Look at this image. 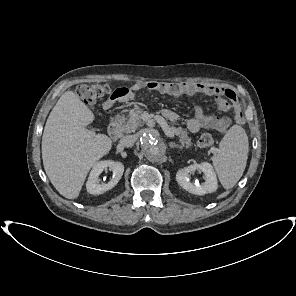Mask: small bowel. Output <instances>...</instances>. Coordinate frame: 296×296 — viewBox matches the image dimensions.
<instances>
[{"mask_svg": "<svg viewBox=\"0 0 296 296\" xmlns=\"http://www.w3.org/2000/svg\"><path fill=\"white\" fill-rule=\"evenodd\" d=\"M144 88L158 91L173 97H181L183 95L194 96L203 94L215 98L217 109L220 112H232L233 117L205 115L202 110H198L194 117L187 120L186 126L191 133H197L202 128H209L218 132H225L233 122L242 123L243 114L241 106L237 100L236 93L227 87H218L197 82L169 83V82H137L133 84L122 96L112 95L104 103L105 108L111 107L116 102H128L134 100L136 93ZM163 115L171 120L176 121L178 115L170 110L165 109Z\"/></svg>", "mask_w": 296, "mask_h": 296, "instance_id": "obj_1", "label": "small bowel"}]
</instances>
